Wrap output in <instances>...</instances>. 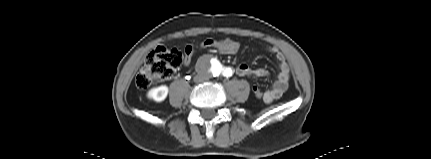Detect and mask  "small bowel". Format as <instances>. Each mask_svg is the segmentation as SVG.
I'll return each mask as SVG.
<instances>
[{"label": "small bowel", "mask_w": 431, "mask_h": 159, "mask_svg": "<svg viewBox=\"0 0 431 159\" xmlns=\"http://www.w3.org/2000/svg\"><path fill=\"white\" fill-rule=\"evenodd\" d=\"M200 48H214L224 50L225 48L236 49L237 52L240 49V44L234 40L224 39V40H213L207 39L203 41ZM269 52L275 55L278 63V76L270 90L264 91V96L261 98L265 103H271L274 100L280 98L282 94L287 90L290 80V69L285 61V58L281 52L278 51L276 47H269ZM195 50L188 46L185 49L184 64L186 66L190 65L192 62V57ZM232 70V69H231ZM233 72V70H232ZM237 75L242 77H266L268 75L267 70L258 68L252 69L247 63L243 62L237 66L235 69Z\"/></svg>", "instance_id": "obj_1"}]
</instances>
